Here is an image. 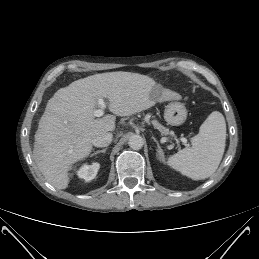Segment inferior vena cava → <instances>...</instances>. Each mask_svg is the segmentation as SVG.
<instances>
[{"label": "inferior vena cava", "mask_w": 259, "mask_h": 259, "mask_svg": "<svg viewBox=\"0 0 259 259\" xmlns=\"http://www.w3.org/2000/svg\"><path fill=\"white\" fill-rule=\"evenodd\" d=\"M112 137L110 132L102 133L92 140V144L96 147H106L112 142Z\"/></svg>", "instance_id": "1"}]
</instances>
